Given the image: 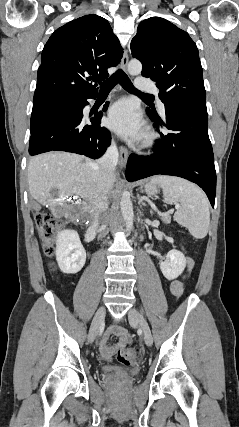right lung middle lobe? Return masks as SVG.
I'll list each match as a JSON object with an SVG mask.
<instances>
[{
    "mask_svg": "<svg viewBox=\"0 0 239 427\" xmlns=\"http://www.w3.org/2000/svg\"><path fill=\"white\" fill-rule=\"evenodd\" d=\"M65 96H51L46 98L34 99L31 114V132L39 124L41 119L59 107L65 100Z\"/></svg>",
    "mask_w": 239,
    "mask_h": 427,
    "instance_id": "obj_1",
    "label": "right lung middle lobe"
}]
</instances>
